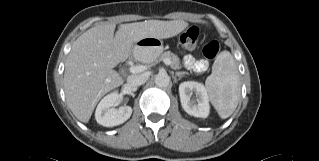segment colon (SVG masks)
Masks as SVG:
<instances>
[{"instance_id": "obj_1", "label": "colon", "mask_w": 319, "mask_h": 161, "mask_svg": "<svg viewBox=\"0 0 319 161\" xmlns=\"http://www.w3.org/2000/svg\"><path fill=\"white\" fill-rule=\"evenodd\" d=\"M200 30L198 27H190L182 31L179 35L180 43L188 48H194L197 44L199 38ZM220 51V44L216 40L208 41L202 48V54L206 59L213 60L215 59Z\"/></svg>"}]
</instances>
